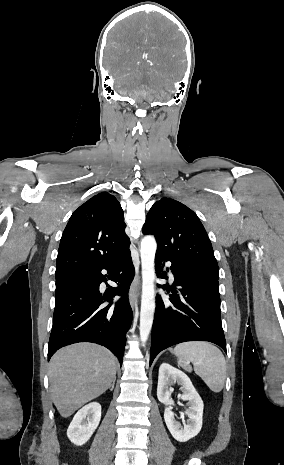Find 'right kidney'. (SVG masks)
Here are the masks:
<instances>
[{"instance_id": "obj_1", "label": "right kidney", "mask_w": 284, "mask_h": 465, "mask_svg": "<svg viewBox=\"0 0 284 465\" xmlns=\"http://www.w3.org/2000/svg\"><path fill=\"white\" fill-rule=\"evenodd\" d=\"M101 419V405L89 403L76 413L67 429V437L74 445H84L97 429Z\"/></svg>"}]
</instances>
